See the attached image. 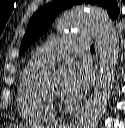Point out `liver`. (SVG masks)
<instances>
[{
  "label": "liver",
  "instance_id": "obj_1",
  "mask_svg": "<svg viewBox=\"0 0 125 128\" xmlns=\"http://www.w3.org/2000/svg\"><path fill=\"white\" fill-rule=\"evenodd\" d=\"M48 127H51L53 128V126H48ZM12 128H25L23 125H15L13 126ZM27 128V127H26Z\"/></svg>",
  "mask_w": 125,
  "mask_h": 128
}]
</instances>
